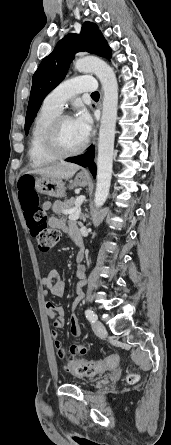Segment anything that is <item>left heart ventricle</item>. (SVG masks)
<instances>
[{
	"instance_id": "1",
	"label": "left heart ventricle",
	"mask_w": 171,
	"mask_h": 445,
	"mask_svg": "<svg viewBox=\"0 0 171 445\" xmlns=\"http://www.w3.org/2000/svg\"><path fill=\"white\" fill-rule=\"evenodd\" d=\"M86 137L82 134L74 119L63 122L59 130V143L62 148L72 150L79 147Z\"/></svg>"
}]
</instances>
